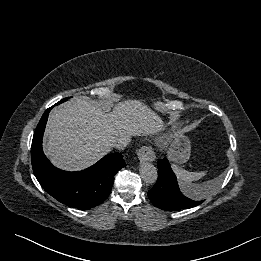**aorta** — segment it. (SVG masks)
<instances>
[{
  "instance_id": "aorta-1",
  "label": "aorta",
  "mask_w": 261,
  "mask_h": 261,
  "mask_svg": "<svg viewBox=\"0 0 261 261\" xmlns=\"http://www.w3.org/2000/svg\"><path fill=\"white\" fill-rule=\"evenodd\" d=\"M141 178L147 184H153L156 182L158 173L156 167L149 162L142 163L139 168Z\"/></svg>"
}]
</instances>
